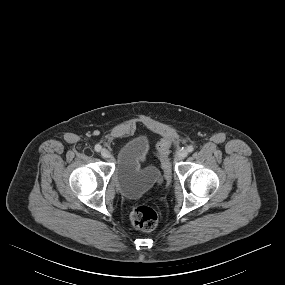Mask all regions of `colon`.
Wrapping results in <instances>:
<instances>
[{"label":"colon","instance_id":"obj_1","mask_svg":"<svg viewBox=\"0 0 285 285\" xmlns=\"http://www.w3.org/2000/svg\"><path fill=\"white\" fill-rule=\"evenodd\" d=\"M170 145V141L164 140L158 145L156 150V153L161 160L162 169L167 181H170L172 173L171 165L167 158V152ZM130 220L137 230L150 231L156 227L158 216L152 207L148 205H139L132 210Z\"/></svg>","mask_w":285,"mask_h":285}]
</instances>
